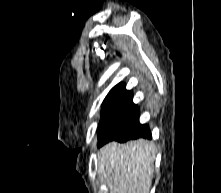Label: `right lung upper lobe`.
<instances>
[{"label":"right lung upper lobe","mask_w":221,"mask_h":193,"mask_svg":"<svg viewBox=\"0 0 221 193\" xmlns=\"http://www.w3.org/2000/svg\"><path fill=\"white\" fill-rule=\"evenodd\" d=\"M129 102H132V94L125 89V85L123 83H119L113 87L106 96L102 104V110Z\"/></svg>","instance_id":"right-lung-upper-lobe-1"}]
</instances>
